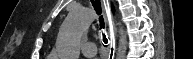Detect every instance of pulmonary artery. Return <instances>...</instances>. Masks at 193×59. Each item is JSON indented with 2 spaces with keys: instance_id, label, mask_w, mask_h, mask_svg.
<instances>
[{
  "instance_id": "e3ab8cb5",
  "label": "pulmonary artery",
  "mask_w": 193,
  "mask_h": 59,
  "mask_svg": "<svg viewBox=\"0 0 193 59\" xmlns=\"http://www.w3.org/2000/svg\"><path fill=\"white\" fill-rule=\"evenodd\" d=\"M82 53L86 56V57H92L94 55H96L97 53V47L94 43L92 42H87L83 45L82 48Z\"/></svg>"
}]
</instances>
